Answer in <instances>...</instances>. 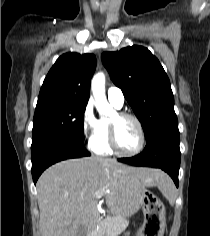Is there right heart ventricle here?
Masks as SVG:
<instances>
[{
	"label": "right heart ventricle",
	"instance_id": "obj_1",
	"mask_svg": "<svg viewBox=\"0 0 210 236\" xmlns=\"http://www.w3.org/2000/svg\"><path fill=\"white\" fill-rule=\"evenodd\" d=\"M89 147L93 153L101 156H110L114 153L109 143V119L99 120V129L90 141Z\"/></svg>",
	"mask_w": 210,
	"mask_h": 236
}]
</instances>
